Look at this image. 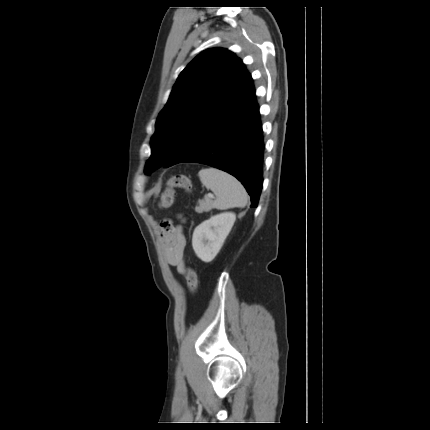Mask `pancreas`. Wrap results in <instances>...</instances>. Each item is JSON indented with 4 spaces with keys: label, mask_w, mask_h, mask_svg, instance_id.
I'll return each instance as SVG.
<instances>
[{
    "label": "pancreas",
    "mask_w": 430,
    "mask_h": 430,
    "mask_svg": "<svg viewBox=\"0 0 430 430\" xmlns=\"http://www.w3.org/2000/svg\"><path fill=\"white\" fill-rule=\"evenodd\" d=\"M212 210V200L210 198H205L204 200H199L195 211L199 214L203 212H209Z\"/></svg>",
    "instance_id": "obj_1"
}]
</instances>
